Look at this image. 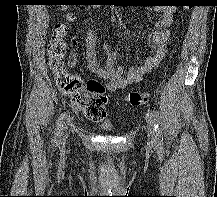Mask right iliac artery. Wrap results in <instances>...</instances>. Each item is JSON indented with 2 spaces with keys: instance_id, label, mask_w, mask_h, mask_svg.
<instances>
[{
  "instance_id": "right-iliac-artery-1",
  "label": "right iliac artery",
  "mask_w": 217,
  "mask_h": 197,
  "mask_svg": "<svg viewBox=\"0 0 217 197\" xmlns=\"http://www.w3.org/2000/svg\"><path fill=\"white\" fill-rule=\"evenodd\" d=\"M65 118H66V114H61L60 117L58 118L57 122H56V128H55V133H54V143L57 145L60 140H61V136H62V132H63V126L65 123Z\"/></svg>"
}]
</instances>
